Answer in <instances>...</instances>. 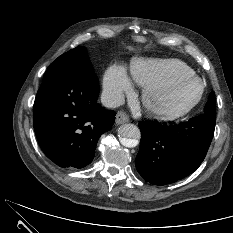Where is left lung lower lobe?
I'll list each match as a JSON object with an SVG mask.
<instances>
[{
    "label": "left lung lower lobe",
    "mask_w": 233,
    "mask_h": 233,
    "mask_svg": "<svg viewBox=\"0 0 233 233\" xmlns=\"http://www.w3.org/2000/svg\"><path fill=\"white\" fill-rule=\"evenodd\" d=\"M215 121L201 115L171 126L140 123L139 174L154 185H165L193 173L207 154Z\"/></svg>",
    "instance_id": "obj_1"
}]
</instances>
